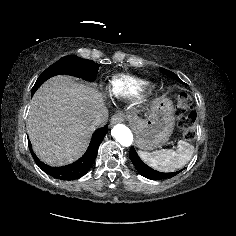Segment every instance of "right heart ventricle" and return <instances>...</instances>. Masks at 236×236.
Listing matches in <instances>:
<instances>
[{
	"label": "right heart ventricle",
	"mask_w": 236,
	"mask_h": 236,
	"mask_svg": "<svg viewBox=\"0 0 236 236\" xmlns=\"http://www.w3.org/2000/svg\"><path fill=\"white\" fill-rule=\"evenodd\" d=\"M148 87L149 83L143 79L129 75H117L110 80L108 91L115 98L129 100L142 95Z\"/></svg>",
	"instance_id": "e07e8e85"
}]
</instances>
